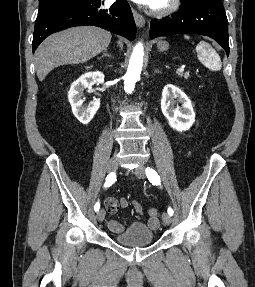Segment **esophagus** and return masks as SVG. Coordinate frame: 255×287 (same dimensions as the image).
Masks as SVG:
<instances>
[{
	"label": "esophagus",
	"mask_w": 255,
	"mask_h": 287,
	"mask_svg": "<svg viewBox=\"0 0 255 287\" xmlns=\"http://www.w3.org/2000/svg\"><path fill=\"white\" fill-rule=\"evenodd\" d=\"M132 13H133L134 20H135L137 27L139 28L144 27L145 18L140 13H138L135 9H132Z\"/></svg>",
	"instance_id": "1"
}]
</instances>
